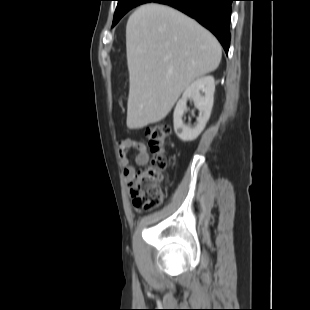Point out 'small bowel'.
Listing matches in <instances>:
<instances>
[{
  "mask_svg": "<svg viewBox=\"0 0 310 310\" xmlns=\"http://www.w3.org/2000/svg\"><path fill=\"white\" fill-rule=\"evenodd\" d=\"M136 151L134 165L131 164L129 158L130 150ZM118 154L121 165L124 168V177L130 181L135 174V166H143L149 160V154L144 143L133 138H125L118 144Z\"/></svg>",
  "mask_w": 310,
  "mask_h": 310,
  "instance_id": "small-bowel-1",
  "label": "small bowel"
}]
</instances>
